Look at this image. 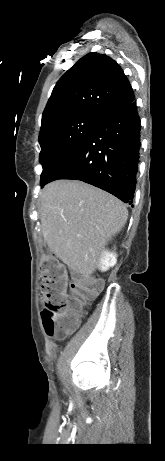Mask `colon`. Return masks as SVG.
I'll list each match as a JSON object with an SVG mask.
<instances>
[{
	"label": "colon",
	"instance_id": "1",
	"mask_svg": "<svg viewBox=\"0 0 165 461\" xmlns=\"http://www.w3.org/2000/svg\"><path fill=\"white\" fill-rule=\"evenodd\" d=\"M40 271L44 301L41 316L45 331L52 338H66L76 330L83 307L96 296L100 283L70 281L65 266L49 255L42 260ZM69 289L72 295L67 293Z\"/></svg>",
	"mask_w": 165,
	"mask_h": 461
}]
</instances>
